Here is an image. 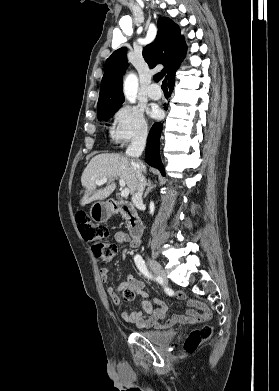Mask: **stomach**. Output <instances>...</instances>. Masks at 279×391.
I'll return each instance as SVG.
<instances>
[{
  "instance_id": "0dacf381",
  "label": "stomach",
  "mask_w": 279,
  "mask_h": 391,
  "mask_svg": "<svg viewBox=\"0 0 279 391\" xmlns=\"http://www.w3.org/2000/svg\"><path fill=\"white\" fill-rule=\"evenodd\" d=\"M112 214V207L107 202L94 203L90 209L91 218L95 222H105Z\"/></svg>"
}]
</instances>
